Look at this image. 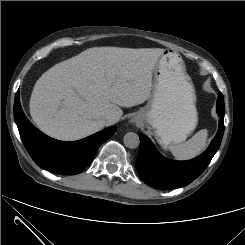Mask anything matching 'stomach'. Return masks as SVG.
<instances>
[{
	"label": "stomach",
	"instance_id": "1",
	"mask_svg": "<svg viewBox=\"0 0 245 245\" xmlns=\"http://www.w3.org/2000/svg\"><path fill=\"white\" fill-rule=\"evenodd\" d=\"M167 148L185 141L198 123L195 89L181 56L165 50L153 69L149 101L135 116Z\"/></svg>",
	"mask_w": 245,
	"mask_h": 245
}]
</instances>
